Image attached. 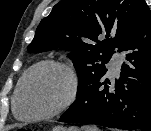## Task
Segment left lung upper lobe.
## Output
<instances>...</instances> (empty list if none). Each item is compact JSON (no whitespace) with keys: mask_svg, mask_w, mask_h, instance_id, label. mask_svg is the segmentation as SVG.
<instances>
[{"mask_svg":"<svg viewBox=\"0 0 151 131\" xmlns=\"http://www.w3.org/2000/svg\"><path fill=\"white\" fill-rule=\"evenodd\" d=\"M144 0H62L36 29L27 50L40 53L62 49L78 74L77 96L107 73L114 49L121 52Z\"/></svg>","mask_w":151,"mask_h":131,"instance_id":"left-lung-upper-lobe-1","label":"left lung upper lobe"}]
</instances>
